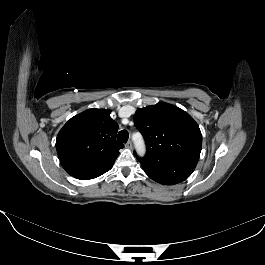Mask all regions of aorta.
I'll return each mask as SVG.
<instances>
[{
    "instance_id": "762f6f07",
    "label": "aorta",
    "mask_w": 265,
    "mask_h": 265,
    "mask_svg": "<svg viewBox=\"0 0 265 265\" xmlns=\"http://www.w3.org/2000/svg\"><path fill=\"white\" fill-rule=\"evenodd\" d=\"M135 146H136V150H137L138 154L140 156H143L144 151H145L143 141L141 139L135 140Z\"/></svg>"
}]
</instances>
